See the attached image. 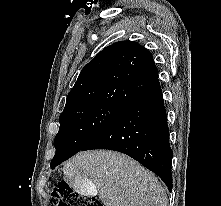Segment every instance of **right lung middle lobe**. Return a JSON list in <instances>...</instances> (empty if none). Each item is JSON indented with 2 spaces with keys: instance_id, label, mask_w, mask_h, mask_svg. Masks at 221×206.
Returning <instances> with one entry per match:
<instances>
[{
  "instance_id": "obj_1",
  "label": "right lung middle lobe",
  "mask_w": 221,
  "mask_h": 206,
  "mask_svg": "<svg viewBox=\"0 0 221 206\" xmlns=\"http://www.w3.org/2000/svg\"><path fill=\"white\" fill-rule=\"evenodd\" d=\"M125 107L95 103L62 112L55 137L56 154L51 168L82 150L98 133L117 118Z\"/></svg>"
}]
</instances>
